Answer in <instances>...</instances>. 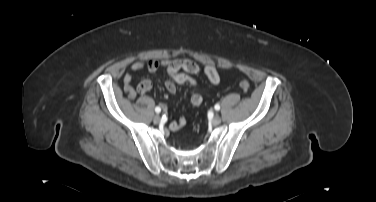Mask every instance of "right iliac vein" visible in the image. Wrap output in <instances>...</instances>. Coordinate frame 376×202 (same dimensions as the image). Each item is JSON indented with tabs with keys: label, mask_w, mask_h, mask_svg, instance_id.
Returning a JSON list of instances; mask_svg holds the SVG:
<instances>
[{
	"label": "right iliac vein",
	"mask_w": 376,
	"mask_h": 202,
	"mask_svg": "<svg viewBox=\"0 0 376 202\" xmlns=\"http://www.w3.org/2000/svg\"><path fill=\"white\" fill-rule=\"evenodd\" d=\"M160 120H161V118H160L159 115H155L154 118H153V121H154L155 123H159Z\"/></svg>",
	"instance_id": "1"
}]
</instances>
